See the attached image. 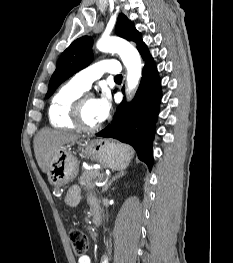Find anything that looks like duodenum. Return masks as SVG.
<instances>
[{"label": "duodenum", "mask_w": 233, "mask_h": 263, "mask_svg": "<svg viewBox=\"0 0 233 263\" xmlns=\"http://www.w3.org/2000/svg\"><path fill=\"white\" fill-rule=\"evenodd\" d=\"M92 212L94 222L99 225L101 223V212L98 203H92Z\"/></svg>", "instance_id": "duodenum-1"}]
</instances>
